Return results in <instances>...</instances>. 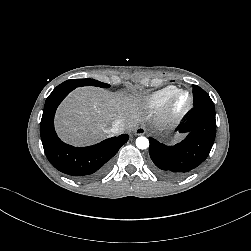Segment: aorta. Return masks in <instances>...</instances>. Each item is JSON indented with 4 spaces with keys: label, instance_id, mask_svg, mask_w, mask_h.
I'll return each mask as SVG.
<instances>
[{
    "label": "aorta",
    "instance_id": "obj_1",
    "mask_svg": "<svg viewBox=\"0 0 251 251\" xmlns=\"http://www.w3.org/2000/svg\"><path fill=\"white\" fill-rule=\"evenodd\" d=\"M136 146L139 149H146L149 147V140L144 136H140L136 139Z\"/></svg>",
    "mask_w": 251,
    "mask_h": 251
}]
</instances>
